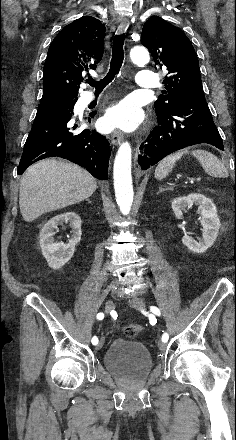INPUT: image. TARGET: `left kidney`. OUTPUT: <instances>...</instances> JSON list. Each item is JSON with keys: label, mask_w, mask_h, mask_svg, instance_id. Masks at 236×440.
I'll list each match as a JSON object with an SVG mask.
<instances>
[{"label": "left kidney", "mask_w": 236, "mask_h": 440, "mask_svg": "<svg viewBox=\"0 0 236 440\" xmlns=\"http://www.w3.org/2000/svg\"><path fill=\"white\" fill-rule=\"evenodd\" d=\"M192 205L199 206L201 212L202 238L199 241H195L192 237L185 234L182 238V243L192 252L204 253L216 241L221 223L213 201L198 193H192L186 197H178L172 200V209L175 217L182 219L183 213Z\"/></svg>", "instance_id": "left-kidney-1"}]
</instances>
